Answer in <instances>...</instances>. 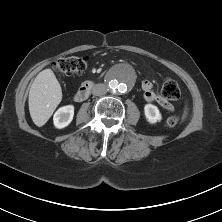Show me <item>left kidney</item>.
<instances>
[{"label":"left kidney","instance_id":"obj_1","mask_svg":"<svg viewBox=\"0 0 222 222\" xmlns=\"http://www.w3.org/2000/svg\"><path fill=\"white\" fill-rule=\"evenodd\" d=\"M144 113L147 121L151 124L157 123L162 119L159 109L153 104H146L144 106Z\"/></svg>","mask_w":222,"mask_h":222}]
</instances>
